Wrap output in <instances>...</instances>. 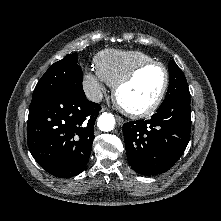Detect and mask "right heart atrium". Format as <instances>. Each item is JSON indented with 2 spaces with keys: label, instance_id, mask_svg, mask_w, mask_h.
I'll return each instance as SVG.
<instances>
[{
  "label": "right heart atrium",
  "instance_id": "right-heart-atrium-1",
  "mask_svg": "<svg viewBox=\"0 0 221 221\" xmlns=\"http://www.w3.org/2000/svg\"><path fill=\"white\" fill-rule=\"evenodd\" d=\"M105 81L97 72L86 71L82 80V89L90 100H97L105 88Z\"/></svg>",
  "mask_w": 221,
  "mask_h": 221
}]
</instances>
